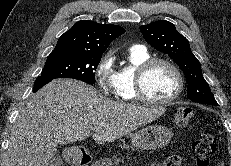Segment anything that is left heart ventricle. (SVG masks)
<instances>
[{"label":"left heart ventricle","mask_w":231,"mask_h":166,"mask_svg":"<svg viewBox=\"0 0 231 166\" xmlns=\"http://www.w3.org/2000/svg\"><path fill=\"white\" fill-rule=\"evenodd\" d=\"M145 91L154 99L168 98L177 87L174 72L164 64L153 66L145 77Z\"/></svg>","instance_id":"1"}]
</instances>
